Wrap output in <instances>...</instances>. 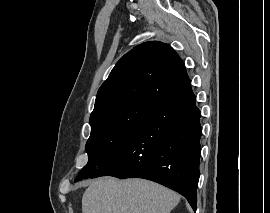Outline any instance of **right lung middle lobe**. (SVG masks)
<instances>
[{"instance_id": "1", "label": "right lung middle lobe", "mask_w": 270, "mask_h": 213, "mask_svg": "<svg viewBox=\"0 0 270 213\" xmlns=\"http://www.w3.org/2000/svg\"><path fill=\"white\" fill-rule=\"evenodd\" d=\"M155 106L156 103L149 101H132L91 118V135L86 144L89 160L75 182L98 173Z\"/></svg>"}]
</instances>
